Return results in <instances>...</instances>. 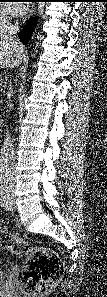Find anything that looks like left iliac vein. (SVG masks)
Returning a JSON list of instances; mask_svg holds the SVG:
<instances>
[{"mask_svg":"<svg viewBox=\"0 0 107 297\" xmlns=\"http://www.w3.org/2000/svg\"><path fill=\"white\" fill-rule=\"evenodd\" d=\"M5 209L7 210H12L14 208V201H13V196L8 195L6 198V204H5Z\"/></svg>","mask_w":107,"mask_h":297,"instance_id":"left-iliac-vein-1","label":"left iliac vein"}]
</instances>
